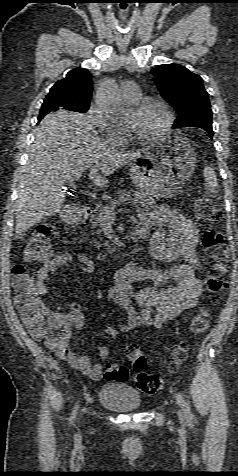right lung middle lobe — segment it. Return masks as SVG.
I'll return each mask as SVG.
<instances>
[{
	"label": "right lung middle lobe",
	"instance_id": "right-lung-middle-lobe-1",
	"mask_svg": "<svg viewBox=\"0 0 238 476\" xmlns=\"http://www.w3.org/2000/svg\"><path fill=\"white\" fill-rule=\"evenodd\" d=\"M60 99L61 98L58 95H54V96L44 100V103L41 106L39 119H41L43 116H45L46 114H48L52 111H57V110L63 111L62 107H61L63 105L60 104L59 102H57ZM88 108H89V106H85V105H71L66 110L85 113L88 110Z\"/></svg>",
	"mask_w": 238,
	"mask_h": 476
}]
</instances>
